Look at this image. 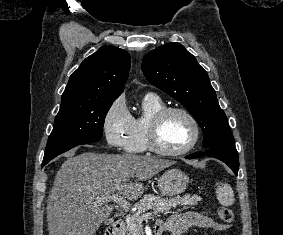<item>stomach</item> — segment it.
<instances>
[{"mask_svg":"<svg viewBox=\"0 0 283 235\" xmlns=\"http://www.w3.org/2000/svg\"><path fill=\"white\" fill-rule=\"evenodd\" d=\"M188 183L187 174L178 169H169L159 177L158 188L165 196H178L186 190Z\"/></svg>","mask_w":283,"mask_h":235,"instance_id":"obj_1","label":"stomach"}]
</instances>
